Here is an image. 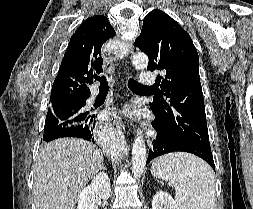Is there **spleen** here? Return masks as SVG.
Masks as SVG:
<instances>
[{
	"mask_svg": "<svg viewBox=\"0 0 253 209\" xmlns=\"http://www.w3.org/2000/svg\"><path fill=\"white\" fill-rule=\"evenodd\" d=\"M151 174L175 188L179 209H214V173L200 158L187 153H170L157 158Z\"/></svg>",
	"mask_w": 253,
	"mask_h": 209,
	"instance_id": "obj_1",
	"label": "spleen"
}]
</instances>
